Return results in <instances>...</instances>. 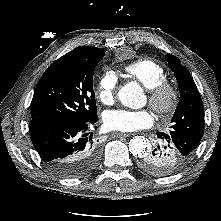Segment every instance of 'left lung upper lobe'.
<instances>
[{"label":"left lung upper lobe","instance_id":"obj_1","mask_svg":"<svg viewBox=\"0 0 221 221\" xmlns=\"http://www.w3.org/2000/svg\"><path fill=\"white\" fill-rule=\"evenodd\" d=\"M166 60L178 82L180 100L176 107L169 136L183 156L190 159L204 133L203 102L190 72L172 54Z\"/></svg>","mask_w":221,"mask_h":221}]
</instances>
